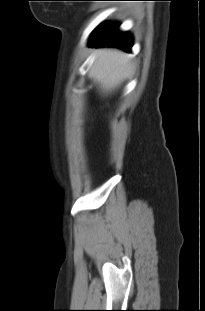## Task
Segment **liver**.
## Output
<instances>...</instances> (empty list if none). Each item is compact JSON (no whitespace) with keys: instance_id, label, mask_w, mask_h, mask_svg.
Here are the masks:
<instances>
[{"instance_id":"obj_1","label":"liver","mask_w":205,"mask_h":311,"mask_svg":"<svg viewBox=\"0 0 205 311\" xmlns=\"http://www.w3.org/2000/svg\"><path fill=\"white\" fill-rule=\"evenodd\" d=\"M121 53L116 50H104L91 69L92 76L101 77L103 91L114 89L130 71L129 63L120 61Z\"/></svg>"}]
</instances>
